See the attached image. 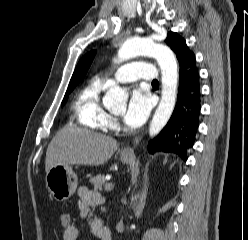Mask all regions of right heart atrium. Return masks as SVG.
Returning <instances> with one entry per match:
<instances>
[{"label":"right heart atrium","mask_w":248,"mask_h":240,"mask_svg":"<svg viewBox=\"0 0 248 240\" xmlns=\"http://www.w3.org/2000/svg\"><path fill=\"white\" fill-rule=\"evenodd\" d=\"M116 125V121L114 118L108 116L107 119V127H114Z\"/></svg>","instance_id":"1"}]
</instances>
